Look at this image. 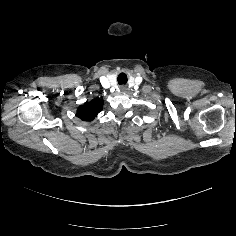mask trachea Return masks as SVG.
Instances as JSON below:
<instances>
[{
    "mask_svg": "<svg viewBox=\"0 0 236 236\" xmlns=\"http://www.w3.org/2000/svg\"><path fill=\"white\" fill-rule=\"evenodd\" d=\"M118 83L121 84H126L127 83V76L124 73L119 74L117 78Z\"/></svg>",
    "mask_w": 236,
    "mask_h": 236,
    "instance_id": "trachea-1",
    "label": "trachea"
}]
</instances>
